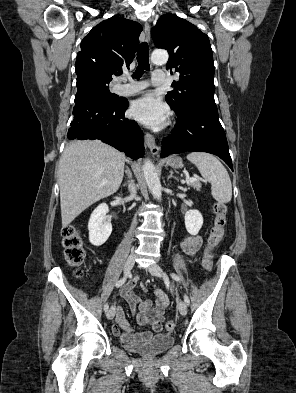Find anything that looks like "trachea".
<instances>
[{"mask_svg":"<svg viewBox=\"0 0 296 393\" xmlns=\"http://www.w3.org/2000/svg\"><path fill=\"white\" fill-rule=\"evenodd\" d=\"M137 61L138 67L136 68L133 77L138 79L141 77L144 70H149V47L146 42H143L139 45L137 51Z\"/></svg>","mask_w":296,"mask_h":393,"instance_id":"obj_1","label":"trachea"}]
</instances>
